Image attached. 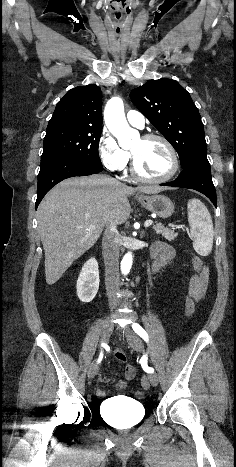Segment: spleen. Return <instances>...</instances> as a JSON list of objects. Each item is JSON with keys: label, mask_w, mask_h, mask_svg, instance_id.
<instances>
[{"label": "spleen", "mask_w": 236, "mask_h": 467, "mask_svg": "<svg viewBox=\"0 0 236 467\" xmlns=\"http://www.w3.org/2000/svg\"><path fill=\"white\" fill-rule=\"evenodd\" d=\"M188 222L194 250L207 256L213 246V223L206 206L199 199H191L187 204Z\"/></svg>", "instance_id": "obj_1"}]
</instances>
